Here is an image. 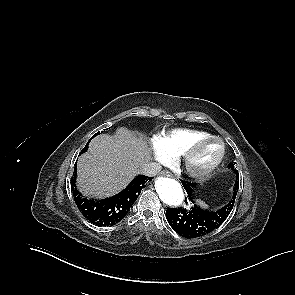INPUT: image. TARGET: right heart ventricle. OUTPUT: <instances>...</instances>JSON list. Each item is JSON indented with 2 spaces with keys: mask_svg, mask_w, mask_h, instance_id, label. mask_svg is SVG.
<instances>
[{
  "mask_svg": "<svg viewBox=\"0 0 295 295\" xmlns=\"http://www.w3.org/2000/svg\"><path fill=\"white\" fill-rule=\"evenodd\" d=\"M210 136L207 132L191 129H174L156 137L161 148L171 157L183 155L196 140Z\"/></svg>",
  "mask_w": 295,
  "mask_h": 295,
  "instance_id": "obj_1",
  "label": "right heart ventricle"
}]
</instances>
